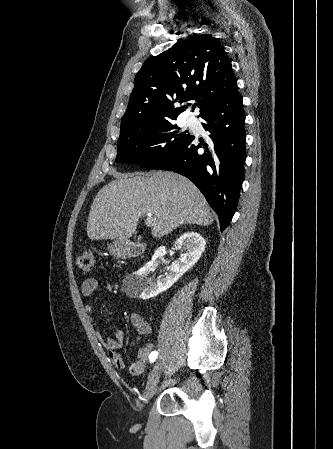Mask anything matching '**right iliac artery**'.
I'll list each match as a JSON object with an SVG mask.
<instances>
[{
  "label": "right iliac artery",
  "instance_id": "1",
  "mask_svg": "<svg viewBox=\"0 0 333 449\" xmlns=\"http://www.w3.org/2000/svg\"><path fill=\"white\" fill-rule=\"evenodd\" d=\"M157 357H158V352H157V351H153V352L150 354V356H149L150 362L153 363V362L156 360Z\"/></svg>",
  "mask_w": 333,
  "mask_h": 449
}]
</instances>
